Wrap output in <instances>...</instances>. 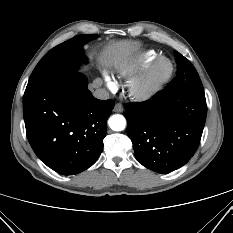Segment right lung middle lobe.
I'll return each instance as SVG.
<instances>
[{"mask_svg":"<svg viewBox=\"0 0 233 233\" xmlns=\"http://www.w3.org/2000/svg\"><path fill=\"white\" fill-rule=\"evenodd\" d=\"M97 35H79L50 50L33 70L25 93L30 92L46 81L64 74L75 72L80 62L86 60L82 46Z\"/></svg>","mask_w":233,"mask_h":233,"instance_id":"1","label":"right lung middle lobe"}]
</instances>
